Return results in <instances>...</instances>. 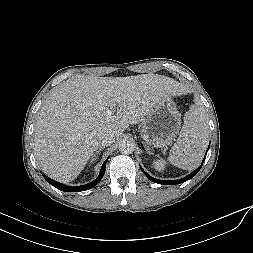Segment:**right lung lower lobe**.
<instances>
[{
    "mask_svg": "<svg viewBox=\"0 0 253 253\" xmlns=\"http://www.w3.org/2000/svg\"><path fill=\"white\" fill-rule=\"evenodd\" d=\"M108 159L105 160V162L102 164V167H101V171H100V174L99 176L92 182L86 184V185H82V186H76V187H71V186H66V185H63L59 182H56L52 179H50L49 177H47L46 175L43 174L44 178L51 184L53 185L54 187H56L57 189L61 190V191H65V192H80V191H85V190H88V189H91L93 188L94 186H96L99 181L102 179V177L104 176L105 174V166H106V162H107Z\"/></svg>",
    "mask_w": 253,
    "mask_h": 253,
    "instance_id": "98d812e1",
    "label": "right lung lower lobe"
}]
</instances>
